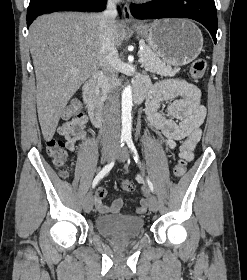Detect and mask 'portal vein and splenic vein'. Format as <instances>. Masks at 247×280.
Returning <instances> with one entry per match:
<instances>
[{
  "label": "portal vein and splenic vein",
  "instance_id": "18ae733b",
  "mask_svg": "<svg viewBox=\"0 0 247 280\" xmlns=\"http://www.w3.org/2000/svg\"><path fill=\"white\" fill-rule=\"evenodd\" d=\"M143 50V48H141V51ZM141 51H139V56H140V59H139V62L140 63H143L144 62V58L142 57V53H141Z\"/></svg>",
  "mask_w": 247,
  "mask_h": 280
}]
</instances>
